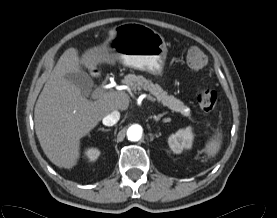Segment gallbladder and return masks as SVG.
Instances as JSON below:
<instances>
[{
	"instance_id": "1",
	"label": "gallbladder",
	"mask_w": 277,
	"mask_h": 218,
	"mask_svg": "<svg viewBox=\"0 0 277 218\" xmlns=\"http://www.w3.org/2000/svg\"><path fill=\"white\" fill-rule=\"evenodd\" d=\"M65 78L68 82L78 87L83 94H86L93 86L92 78L83 71L67 73Z\"/></svg>"
}]
</instances>
